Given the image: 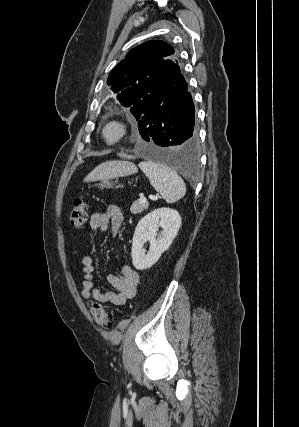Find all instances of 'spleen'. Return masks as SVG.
<instances>
[{
  "label": "spleen",
  "mask_w": 299,
  "mask_h": 427,
  "mask_svg": "<svg viewBox=\"0 0 299 427\" xmlns=\"http://www.w3.org/2000/svg\"><path fill=\"white\" fill-rule=\"evenodd\" d=\"M138 166L167 203H173L185 195L183 179L170 167L154 161H144Z\"/></svg>",
  "instance_id": "3e777b00"
}]
</instances>
